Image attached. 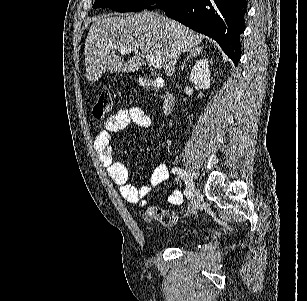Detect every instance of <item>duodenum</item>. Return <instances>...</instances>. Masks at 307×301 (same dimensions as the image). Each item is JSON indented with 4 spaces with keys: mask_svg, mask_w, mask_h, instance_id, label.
<instances>
[{
    "mask_svg": "<svg viewBox=\"0 0 307 301\" xmlns=\"http://www.w3.org/2000/svg\"><path fill=\"white\" fill-rule=\"evenodd\" d=\"M174 106V97L170 92H166L163 98L162 110L163 113L168 115L172 112Z\"/></svg>",
    "mask_w": 307,
    "mask_h": 301,
    "instance_id": "obj_1",
    "label": "duodenum"
}]
</instances>
